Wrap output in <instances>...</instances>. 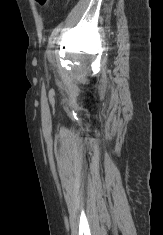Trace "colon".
<instances>
[{
	"label": "colon",
	"instance_id": "5ec220e1",
	"mask_svg": "<svg viewBox=\"0 0 163 235\" xmlns=\"http://www.w3.org/2000/svg\"><path fill=\"white\" fill-rule=\"evenodd\" d=\"M35 2L37 3V5H39L40 7H44V8H48L51 6L52 4V0H35Z\"/></svg>",
	"mask_w": 163,
	"mask_h": 235
}]
</instances>
